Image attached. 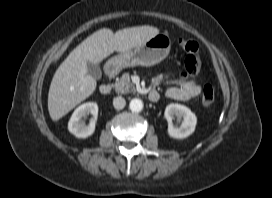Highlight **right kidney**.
Returning a JSON list of instances; mask_svg holds the SVG:
<instances>
[{"label":"right kidney","instance_id":"ca27d5eb","mask_svg":"<svg viewBox=\"0 0 272 198\" xmlns=\"http://www.w3.org/2000/svg\"><path fill=\"white\" fill-rule=\"evenodd\" d=\"M92 114L93 119L90 121L88 125L82 121V118L87 114ZM98 116V105L94 102H87L80 105L73 112L69 122H68V130L70 133L75 135L77 138H87L91 136L95 131V122Z\"/></svg>","mask_w":272,"mask_h":198}]
</instances>
